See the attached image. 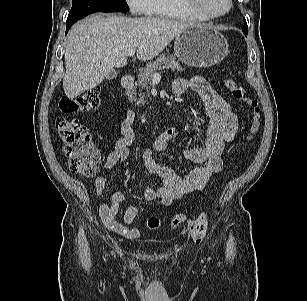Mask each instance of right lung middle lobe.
Masks as SVG:
<instances>
[{
  "label": "right lung middle lobe",
  "mask_w": 307,
  "mask_h": 301,
  "mask_svg": "<svg viewBox=\"0 0 307 301\" xmlns=\"http://www.w3.org/2000/svg\"><path fill=\"white\" fill-rule=\"evenodd\" d=\"M128 10L125 0H73L66 22L80 20L95 12H127Z\"/></svg>",
  "instance_id": "right-lung-middle-lobe-1"
}]
</instances>
